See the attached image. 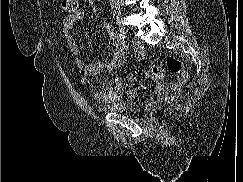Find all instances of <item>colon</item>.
Returning <instances> with one entry per match:
<instances>
[{
	"label": "colon",
	"instance_id": "5ec220e1",
	"mask_svg": "<svg viewBox=\"0 0 243 182\" xmlns=\"http://www.w3.org/2000/svg\"><path fill=\"white\" fill-rule=\"evenodd\" d=\"M61 7L64 11L69 13H74L78 10V0H61ZM166 67L167 69L175 74L180 75V80L177 83V86L183 84L187 79V72L184 69L182 62L174 57L169 56L166 59ZM164 68L160 65H151L146 70V75L152 79H160L164 75Z\"/></svg>",
	"mask_w": 243,
	"mask_h": 182
}]
</instances>
